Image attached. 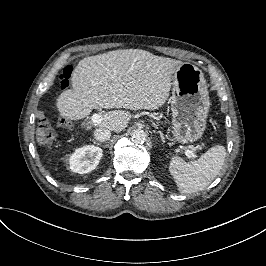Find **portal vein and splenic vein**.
I'll list each match as a JSON object with an SVG mask.
<instances>
[{
  "instance_id": "1",
  "label": "portal vein and splenic vein",
  "mask_w": 266,
  "mask_h": 266,
  "mask_svg": "<svg viewBox=\"0 0 266 266\" xmlns=\"http://www.w3.org/2000/svg\"><path fill=\"white\" fill-rule=\"evenodd\" d=\"M91 119H92V122L95 123V124H99V123H101V121H102L101 115H99V114H93ZM185 155H186L188 158L196 157V155L193 153V151H191V150H189V149H187V150L185 151Z\"/></svg>"
}]
</instances>
